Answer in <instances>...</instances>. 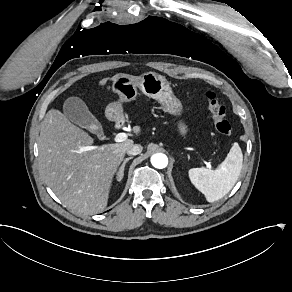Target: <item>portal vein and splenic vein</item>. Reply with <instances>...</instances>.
Returning <instances> with one entry per match:
<instances>
[{
	"label": "portal vein and splenic vein",
	"mask_w": 292,
	"mask_h": 292,
	"mask_svg": "<svg viewBox=\"0 0 292 292\" xmlns=\"http://www.w3.org/2000/svg\"><path fill=\"white\" fill-rule=\"evenodd\" d=\"M127 139V134L126 133H118L115 137L116 142H123ZM89 148H94V147H89ZM207 166L210 168L211 165L208 163Z\"/></svg>",
	"instance_id": "18ae733b"
}]
</instances>
